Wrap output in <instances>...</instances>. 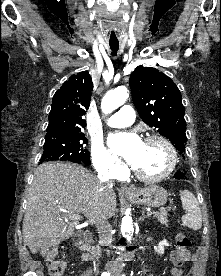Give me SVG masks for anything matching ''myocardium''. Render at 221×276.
Listing matches in <instances>:
<instances>
[{
    "instance_id": "myocardium-1",
    "label": "myocardium",
    "mask_w": 221,
    "mask_h": 276,
    "mask_svg": "<svg viewBox=\"0 0 221 276\" xmlns=\"http://www.w3.org/2000/svg\"><path fill=\"white\" fill-rule=\"evenodd\" d=\"M157 141L160 142L167 150L168 153V165L165 170L156 175H147L140 172L135 166L132 167V170L135 176L145 182H158L161 181L172 174L177 165V152L173 144L164 136L159 134H151L148 135L144 142H152Z\"/></svg>"
}]
</instances>
